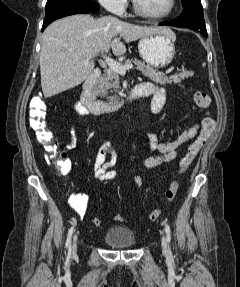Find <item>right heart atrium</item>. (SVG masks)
Segmentation results:
<instances>
[{
  "mask_svg": "<svg viewBox=\"0 0 240 287\" xmlns=\"http://www.w3.org/2000/svg\"><path fill=\"white\" fill-rule=\"evenodd\" d=\"M99 3L109 12L121 15L125 12L128 0H98Z\"/></svg>",
  "mask_w": 240,
  "mask_h": 287,
  "instance_id": "obj_1",
  "label": "right heart atrium"
}]
</instances>
